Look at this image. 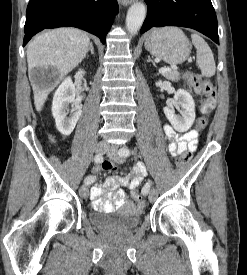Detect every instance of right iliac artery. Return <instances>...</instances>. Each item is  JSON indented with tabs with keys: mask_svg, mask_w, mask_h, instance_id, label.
Returning a JSON list of instances; mask_svg holds the SVG:
<instances>
[{
	"mask_svg": "<svg viewBox=\"0 0 247 275\" xmlns=\"http://www.w3.org/2000/svg\"><path fill=\"white\" fill-rule=\"evenodd\" d=\"M94 161H95L96 163H101V162H103V156H102L101 154H96L95 157H94ZM95 180H96V177L90 175V176H87V177L85 178L84 183L87 184V185H89V184L95 182Z\"/></svg>",
	"mask_w": 247,
	"mask_h": 275,
	"instance_id": "1",
	"label": "right iliac artery"
}]
</instances>
